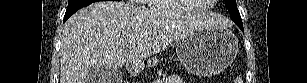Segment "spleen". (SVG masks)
Listing matches in <instances>:
<instances>
[{"label": "spleen", "instance_id": "spleen-1", "mask_svg": "<svg viewBox=\"0 0 307 83\" xmlns=\"http://www.w3.org/2000/svg\"><path fill=\"white\" fill-rule=\"evenodd\" d=\"M236 83H243V81L240 78H238L236 79Z\"/></svg>", "mask_w": 307, "mask_h": 83}]
</instances>
